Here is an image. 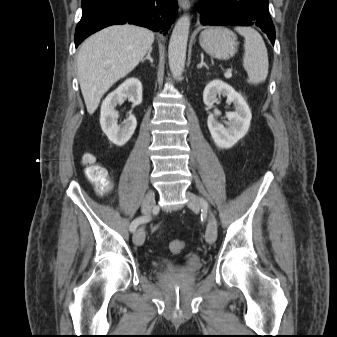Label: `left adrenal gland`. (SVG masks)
Instances as JSON below:
<instances>
[{"instance_id":"1","label":"left adrenal gland","mask_w":337,"mask_h":337,"mask_svg":"<svg viewBox=\"0 0 337 337\" xmlns=\"http://www.w3.org/2000/svg\"><path fill=\"white\" fill-rule=\"evenodd\" d=\"M203 66L208 69V66L206 65V63H204V56H203V54H201V62H200V64L197 65V68L199 69Z\"/></svg>"}]
</instances>
